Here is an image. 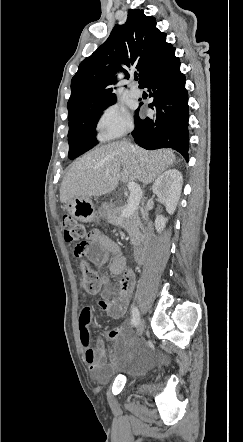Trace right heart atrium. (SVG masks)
<instances>
[{
  "mask_svg": "<svg viewBox=\"0 0 243 442\" xmlns=\"http://www.w3.org/2000/svg\"><path fill=\"white\" fill-rule=\"evenodd\" d=\"M130 113L123 106L111 104L103 109L96 123L98 137L102 140H115L133 129Z\"/></svg>",
  "mask_w": 243,
  "mask_h": 442,
  "instance_id": "obj_1",
  "label": "right heart atrium"
}]
</instances>
